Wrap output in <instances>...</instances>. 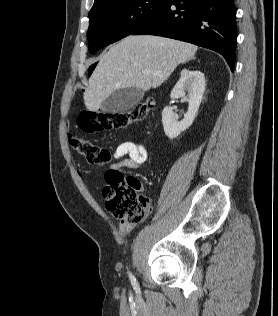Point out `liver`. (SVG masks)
Returning <instances> with one entry per match:
<instances>
[{
	"label": "liver",
	"mask_w": 278,
	"mask_h": 316,
	"mask_svg": "<svg viewBox=\"0 0 278 316\" xmlns=\"http://www.w3.org/2000/svg\"><path fill=\"white\" fill-rule=\"evenodd\" d=\"M198 47L166 37L130 35L114 44L99 60L84 92L88 110L102 109L103 101L121 88L147 91L159 87ZM150 71V74L145 73Z\"/></svg>",
	"instance_id": "1"
}]
</instances>
